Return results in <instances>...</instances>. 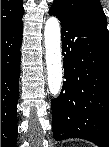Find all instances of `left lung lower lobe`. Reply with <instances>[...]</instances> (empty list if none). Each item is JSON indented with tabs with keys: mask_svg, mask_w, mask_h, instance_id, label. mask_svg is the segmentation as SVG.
Listing matches in <instances>:
<instances>
[{
	"mask_svg": "<svg viewBox=\"0 0 109 147\" xmlns=\"http://www.w3.org/2000/svg\"><path fill=\"white\" fill-rule=\"evenodd\" d=\"M49 14L61 22L64 78L81 77L77 92L63 83L52 101L53 136L57 141L81 138L100 147L109 145V36L55 8Z\"/></svg>",
	"mask_w": 109,
	"mask_h": 147,
	"instance_id": "obj_1",
	"label": "left lung lower lobe"
}]
</instances>
